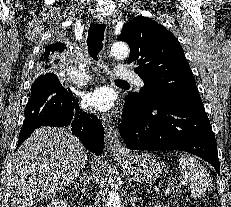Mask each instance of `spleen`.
Listing matches in <instances>:
<instances>
[{
  "instance_id": "obj_1",
  "label": "spleen",
  "mask_w": 231,
  "mask_h": 207,
  "mask_svg": "<svg viewBox=\"0 0 231 207\" xmlns=\"http://www.w3.org/2000/svg\"><path fill=\"white\" fill-rule=\"evenodd\" d=\"M179 170L185 182L190 185L191 196L201 198L213 190L212 179L207 170L192 156H178Z\"/></svg>"
}]
</instances>
